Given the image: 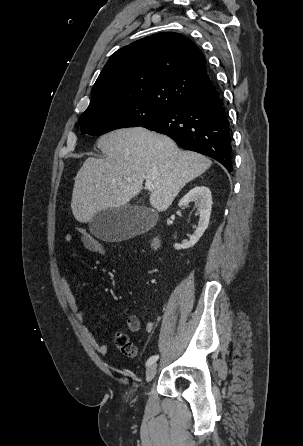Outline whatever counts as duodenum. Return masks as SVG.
Listing matches in <instances>:
<instances>
[{"label": "duodenum", "mask_w": 303, "mask_h": 446, "mask_svg": "<svg viewBox=\"0 0 303 446\" xmlns=\"http://www.w3.org/2000/svg\"><path fill=\"white\" fill-rule=\"evenodd\" d=\"M154 245H157V242H154Z\"/></svg>", "instance_id": "1"}]
</instances>
